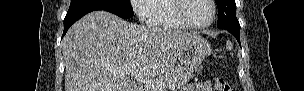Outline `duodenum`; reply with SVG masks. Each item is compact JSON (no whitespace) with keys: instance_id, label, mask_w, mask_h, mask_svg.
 Returning <instances> with one entry per match:
<instances>
[{"instance_id":"duodenum-1","label":"duodenum","mask_w":304,"mask_h":91,"mask_svg":"<svg viewBox=\"0 0 304 91\" xmlns=\"http://www.w3.org/2000/svg\"><path fill=\"white\" fill-rule=\"evenodd\" d=\"M132 91H140L139 89H133Z\"/></svg>"}]
</instances>
